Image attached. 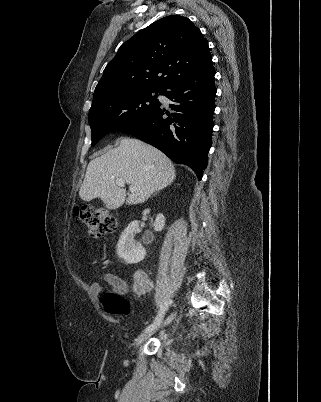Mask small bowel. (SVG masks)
Segmentation results:
<instances>
[{
    "label": "small bowel",
    "instance_id": "small-bowel-1",
    "mask_svg": "<svg viewBox=\"0 0 321 402\" xmlns=\"http://www.w3.org/2000/svg\"><path fill=\"white\" fill-rule=\"evenodd\" d=\"M103 280L111 286V289L118 294L125 295L128 292V284L127 282L110 273H106L102 275ZM134 292L138 294H145L150 290V281L147 274L142 271L138 270L133 274V286ZM91 290L99 294L102 292L103 288L99 283H93L91 285Z\"/></svg>",
    "mask_w": 321,
    "mask_h": 402
}]
</instances>
